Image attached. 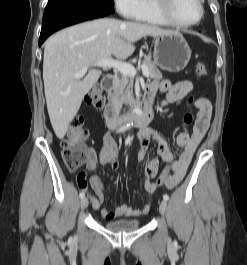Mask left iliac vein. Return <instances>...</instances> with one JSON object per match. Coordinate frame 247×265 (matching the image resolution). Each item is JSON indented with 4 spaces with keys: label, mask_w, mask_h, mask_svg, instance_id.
<instances>
[{
    "label": "left iliac vein",
    "mask_w": 247,
    "mask_h": 265,
    "mask_svg": "<svg viewBox=\"0 0 247 265\" xmlns=\"http://www.w3.org/2000/svg\"><path fill=\"white\" fill-rule=\"evenodd\" d=\"M159 211L162 215H165L166 214V211H167V202L166 200H162L161 203H160V207H159Z\"/></svg>",
    "instance_id": "4c4485c4"
}]
</instances>
